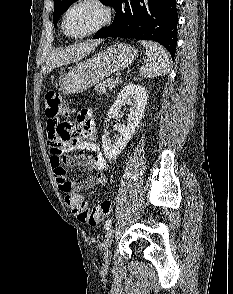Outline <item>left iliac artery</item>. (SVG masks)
<instances>
[{
  "label": "left iliac artery",
  "mask_w": 233,
  "mask_h": 294,
  "mask_svg": "<svg viewBox=\"0 0 233 294\" xmlns=\"http://www.w3.org/2000/svg\"><path fill=\"white\" fill-rule=\"evenodd\" d=\"M111 225H112V219H108V220H106V222H105V229L106 230H109L110 229V227H111Z\"/></svg>",
  "instance_id": "obj_1"
}]
</instances>
